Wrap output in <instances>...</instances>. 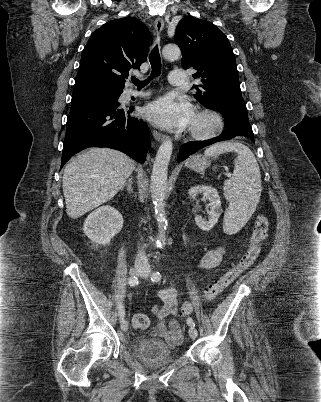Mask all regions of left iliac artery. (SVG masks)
Wrapping results in <instances>:
<instances>
[{"instance_id": "obj_1", "label": "left iliac artery", "mask_w": 321, "mask_h": 402, "mask_svg": "<svg viewBox=\"0 0 321 402\" xmlns=\"http://www.w3.org/2000/svg\"><path fill=\"white\" fill-rule=\"evenodd\" d=\"M160 279H161V274L159 272H154L152 274L151 280L153 282H158V281H160ZM187 324L190 325V326H195V323H194L192 318L187 319Z\"/></svg>"}]
</instances>
